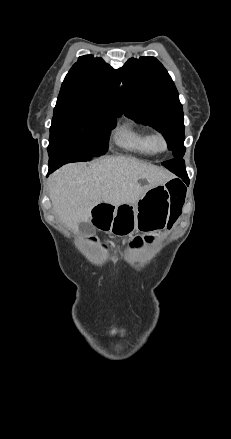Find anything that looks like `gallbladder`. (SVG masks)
<instances>
[{
  "mask_svg": "<svg viewBox=\"0 0 231 439\" xmlns=\"http://www.w3.org/2000/svg\"><path fill=\"white\" fill-rule=\"evenodd\" d=\"M80 231L85 234H91L93 232L92 228L88 224L80 223Z\"/></svg>",
  "mask_w": 231,
  "mask_h": 439,
  "instance_id": "bac80fb5",
  "label": "gallbladder"
}]
</instances>
